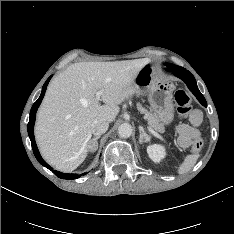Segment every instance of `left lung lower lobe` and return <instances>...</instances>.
<instances>
[{
  "instance_id": "0a47b994",
  "label": "left lung lower lobe",
  "mask_w": 234,
  "mask_h": 234,
  "mask_svg": "<svg viewBox=\"0 0 234 234\" xmlns=\"http://www.w3.org/2000/svg\"><path fill=\"white\" fill-rule=\"evenodd\" d=\"M167 71L172 72L175 76L181 78L187 84L188 88L196 96L199 102L203 106L205 107L207 106L205 98L198 90L194 76L188 70L180 66L171 65L170 67L167 68Z\"/></svg>"
}]
</instances>
